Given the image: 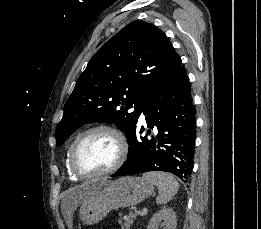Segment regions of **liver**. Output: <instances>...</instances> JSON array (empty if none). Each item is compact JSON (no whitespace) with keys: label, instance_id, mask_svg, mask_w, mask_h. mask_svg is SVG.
Instances as JSON below:
<instances>
[{"label":"liver","instance_id":"liver-1","mask_svg":"<svg viewBox=\"0 0 261 229\" xmlns=\"http://www.w3.org/2000/svg\"><path fill=\"white\" fill-rule=\"evenodd\" d=\"M92 193H94L92 187H88L87 183H84V185H80V187L75 189L73 201L76 205H80V203H84L85 199H88Z\"/></svg>","mask_w":261,"mask_h":229}]
</instances>
